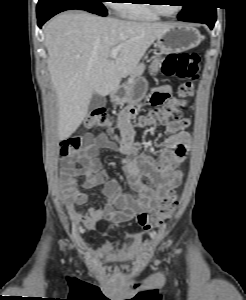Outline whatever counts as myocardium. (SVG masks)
Segmentation results:
<instances>
[{
    "label": "myocardium",
    "instance_id": "1",
    "mask_svg": "<svg viewBox=\"0 0 246 300\" xmlns=\"http://www.w3.org/2000/svg\"><path fill=\"white\" fill-rule=\"evenodd\" d=\"M153 10L159 15L167 18L175 17L180 14L181 10L183 9L182 6H179L177 11L173 14H167L165 11H163L161 5L158 3L157 0H150Z\"/></svg>",
    "mask_w": 246,
    "mask_h": 300
}]
</instances>
